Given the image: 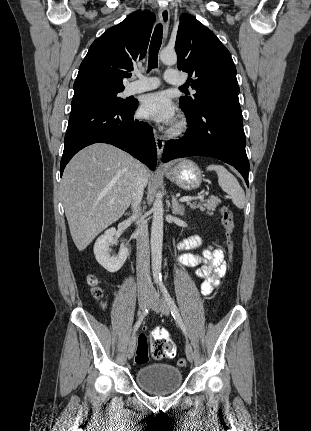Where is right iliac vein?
Segmentation results:
<instances>
[{
	"label": "right iliac vein",
	"instance_id": "right-iliac-vein-1",
	"mask_svg": "<svg viewBox=\"0 0 311 431\" xmlns=\"http://www.w3.org/2000/svg\"><path fill=\"white\" fill-rule=\"evenodd\" d=\"M148 298H149L148 292H141L138 295V302L141 309H143L146 306L148 302ZM135 346H136V337L133 336L129 342L128 351H127V356L129 359H131L134 355Z\"/></svg>",
	"mask_w": 311,
	"mask_h": 431
}]
</instances>
